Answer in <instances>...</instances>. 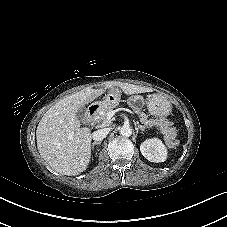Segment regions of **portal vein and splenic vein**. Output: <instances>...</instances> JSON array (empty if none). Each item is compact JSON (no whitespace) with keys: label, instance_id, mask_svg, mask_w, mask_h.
Wrapping results in <instances>:
<instances>
[{"label":"portal vein and splenic vein","instance_id":"obj_1","mask_svg":"<svg viewBox=\"0 0 227 227\" xmlns=\"http://www.w3.org/2000/svg\"><path fill=\"white\" fill-rule=\"evenodd\" d=\"M123 110H126V109H123ZM119 111H121V109L119 108V109H116V110H112V111H110V112H108V114H107V119L108 120H110L114 115H115V113H117V112H119Z\"/></svg>","mask_w":227,"mask_h":227}]
</instances>
